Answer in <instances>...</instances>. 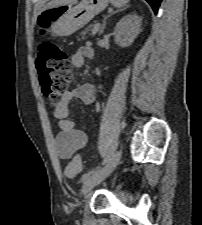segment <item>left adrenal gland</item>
Returning a JSON list of instances; mask_svg holds the SVG:
<instances>
[{"instance_id": "obj_1", "label": "left adrenal gland", "mask_w": 202, "mask_h": 225, "mask_svg": "<svg viewBox=\"0 0 202 225\" xmlns=\"http://www.w3.org/2000/svg\"><path fill=\"white\" fill-rule=\"evenodd\" d=\"M117 12H118V10H117V11H114V12H112V13H110L107 17H105V19H104V21H103V24H102V27H101V29H100V31H99V36L102 35V33L104 32V29H105V26H106V21H107V19H108L110 16H112L113 14L117 13Z\"/></svg>"}]
</instances>
